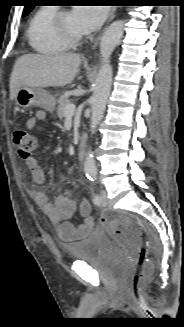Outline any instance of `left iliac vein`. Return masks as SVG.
I'll return each instance as SVG.
<instances>
[{
  "label": "left iliac vein",
  "instance_id": "4c4485c4",
  "mask_svg": "<svg viewBox=\"0 0 184 327\" xmlns=\"http://www.w3.org/2000/svg\"><path fill=\"white\" fill-rule=\"evenodd\" d=\"M100 199H101V205L105 206L108 204V199H107V193L106 191L102 190L100 192Z\"/></svg>",
  "mask_w": 184,
  "mask_h": 327
}]
</instances>
